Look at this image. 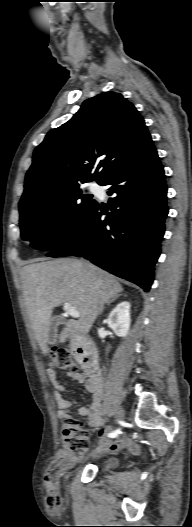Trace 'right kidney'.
<instances>
[{
    "label": "right kidney",
    "instance_id": "obj_1",
    "mask_svg": "<svg viewBox=\"0 0 192 527\" xmlns=\"http://www.w3.org/2000/svg\"><path fill=\"white\" fill-rule=\"evenodd\" d=\"M130 322V303L126 301L119 303L107 319L108 326L119 337L127 336Z\"/></svg>",
    "mask_w": 192,
    "mask_h": 527
}]
</instances>
